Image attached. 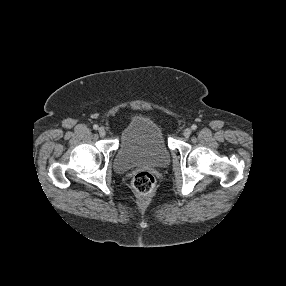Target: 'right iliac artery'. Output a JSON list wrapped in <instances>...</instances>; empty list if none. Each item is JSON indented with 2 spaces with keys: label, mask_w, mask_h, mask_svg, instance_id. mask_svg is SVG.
Returning <instances> with one entry per match:
<instances>
[{
  "label": "right iliac artery",
  "mask_w": 286,
  "mask_h": 286,
  "mask_svg": "<svg viewBox=\"0 0 286 286\" xmlns=\"http://www.w3.org/2000/svg\"><path fill=\"white\" fill-rule=\"evenodd\" d=\"M98 128H99V127H98L97 124H95V125L93 126V129H94V130H98Z\"/></svg>",
  "instance_id": "right-iliac-artery-1"
}]
</instances>
